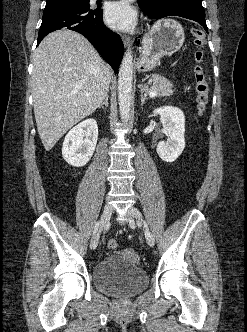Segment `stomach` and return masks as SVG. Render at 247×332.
Here are the masks:
<instances>
[{
  "instance_id": "obj_1",
  "label": "stomach",
  "mask_w": 247,
  "mask_h": 332,
  "mask_svg": "<svg viewBox=\"0 0 247 332\" xmlns=\"http://www.w3.org/2000/svg\"><path fill=\"white\" fill-rule=\"evenodd\" d=\"M184 40V30L177 21L162 19L155 23L142 39L138 71L151 70L158 64L160 58L176 53L182 47Z\"/></svg>"
}]
</instances>
